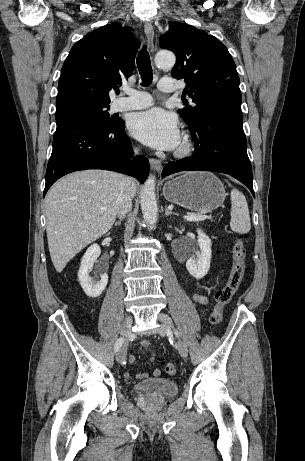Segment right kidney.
<instances>
[{
  "instance_id": "right-kidney-1",
  "label": "right kidney",
  "mask_w": 305,
  "mask_h": 461,
  "mask_svg": "<svg viewBox=\"0 0 305 461\" xmlns=\"http://www.w3.org/2000/svg\"><path fill=\"white\" fill-rule=\"evenodd\" d=\"M100 253L101 250L98 244L91 245L85 252L78 271L80 285L86 295L91 298L99 297L108 283V274L106 272L100 273V279L97 276L91 277L89 275Z\"/></svg>"
}]
</instances>
